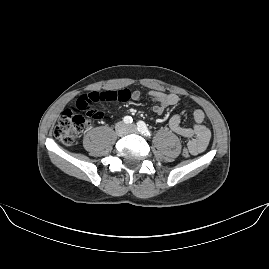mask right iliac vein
Masks as SVG:
<instances>
[{
	"mask_svg": "<svg viewBox=\"0 0 269 269\" xmlns=\"http://www.w3.org/2000/svg\"><path fill=\"white\" fill-rule=\"evenodd\" d=\"M116 133L119 136H124L127 133V126L125 123L120 122L116 125Z\"/></svg>",
	"mask_w": 269,
	"mask_h": 269,
	"instance_id": "right-iliac-vein-1",
	"label": "right iliac vein"
}]
</instances>
